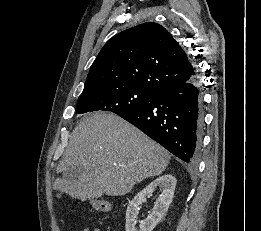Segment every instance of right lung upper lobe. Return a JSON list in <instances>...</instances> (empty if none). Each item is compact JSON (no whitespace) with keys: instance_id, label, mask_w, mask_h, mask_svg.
Segmentation results:
<instances>
[{"instance_id":"obj_1","label":"right lung upper lobe","mask_w":261,"mask_h":231,"mask_svg":"<svg viewBox=\"0 0 261 231\" xmlns=\"http://www.w3.org/2000/svg\"><path fill=\"white\" fill-rule=\"evenodd\" d=\"M195 75L185 51L170 33L147 22L116 34L104 45L82 94L138 87L158 95Z\"/></svg>"}]
</instances>
